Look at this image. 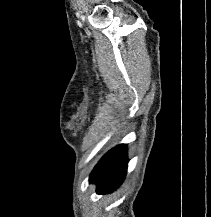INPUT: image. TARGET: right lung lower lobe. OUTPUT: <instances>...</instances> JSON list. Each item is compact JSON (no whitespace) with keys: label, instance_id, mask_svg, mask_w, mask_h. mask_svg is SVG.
Here are the masks:
<instances>
[{"label":"right lung lower lobe","instance_id":"1","mask_svg":"<svg viewBox=\"0 0 211 217\" xmlns=\"http://www.w3.org/2000/svg\"><path fill=\"white\" fill-rule=\"evenodd\" d=\"M127 146L118 145L107 152L90 174V183L97 184V193L106 194L119 187L127 173Z\"/></svg>","mask_w":211,"mask_h":217}]
</instances>
